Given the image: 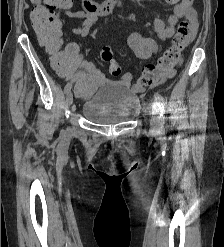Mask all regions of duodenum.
<instances>
[{
    "instance_id": "duodenum-1",
    "label": "duodenum",
    "mask_w": 224,
    "mask_h": 247,
    "mask_svg": "<svg viewBox=\"0 0 224 247\" xmlns=\"http://www.w3.org/2000/svg\"><path fill=\"white\" fill-rule=\"evenodd\" d=\"M118 2L119 0H103L96 3L92 0H83V7L86 11L93 12L99 16H105L116 8Z\"/></svg>"
}]
</instances>
